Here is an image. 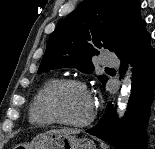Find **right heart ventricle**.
<instances>
[{"label":"right heart ventricle","instance_id":"obj_1","mask_svg":"<svg viewBox=\"0 0 155 149\" xmlns=\"http://www.w3.org/2000/svg\"><path fill=\"white\" fill-rule=\"evenodd\" d=\"M55 79H49L37 90L35 93L28 110L29 122L35 126H50L55 123L43 110L42 107V96L47 88Z\"/></svg>","mask_w":155,"mask_h":149}]
</instances>
